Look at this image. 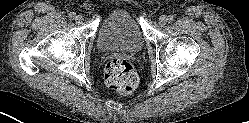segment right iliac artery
I'll return each instance as SVG.
<instances>
[{
    "label": "right iliac artery",
    "instance_id": "82829eb1",
    "mask_svg": "<svg viewBox=\"0 0 249 123\" xmlns=\"http://www.w3.org/2000/svg\"><path fill=\"white\" fill-rule=\"evenodd\" d=\"M76 18V14L75 13H69V19L70 20H74Z\"/></svg>",
    "mask_w": 249,
    "mask_h": 123
}]
</instances>
